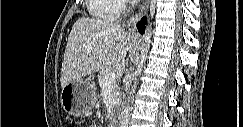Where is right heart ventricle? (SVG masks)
Wrapping results in <instances>:
<instances>
[{
  "label": "right heart ventricle",
  "instance_id": "1",
  "mask_svg": "<svg viewBox=\"0 0 243 127\" xmlns=\"http://www.w3.org/2000/svg\"><path fill=\"white\" fill-rule=\"evenodd\" d=\"M119 2L116 0H88L87 9L90 16L100 22L116 20Z\"/></svg>",
  "mask_w": 243,
  "mask_h": 127
}]
</instances>
